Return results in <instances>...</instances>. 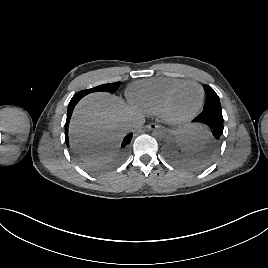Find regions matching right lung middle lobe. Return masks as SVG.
Instances as JSON below:
<instances>
[{
	"label": "right lung middle lobe",
	"instance_id": "right-lung-middle-lobe-1",
	"mask_svg": "<svg viewBox=\"0 0 268 268\" xmlns=\"http://www.w3.org/2000/svg\"><path fill=\"white\" fill-rule=\"evenodd\" d=\"M120 84H121L120 82L102 84V85L96 86V87L91 88V89L82 90V91L76 93L74 96L83 98L87 94H90V93H93V92L115 93L117 91V89L119 88Z\"/></svg>",
	"mask_w": 268,
	"mask_h": 268
}]
</instances>
